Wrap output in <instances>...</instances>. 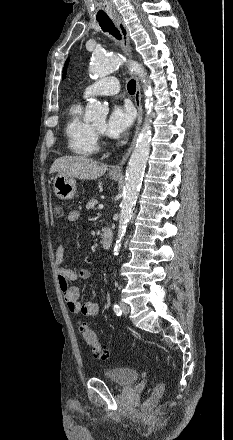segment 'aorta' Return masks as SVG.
<instances>
[{
    "mask_svg": "<svg viewBox=\"0 0 233 440\" xmlns=\"http://www.w3.org/2000/svg\"><path fill=\"white\" fill-rule=\"evenodd\" d=\"M124 60L117 55L105 56L96 52L93 54L90 65V72L97 77H104L116 71ZM130 68L141 79L144 87L145 109L147 111L145 122L138 135L134 150L131 154L128 167L126 170L125 186L123 191V199L121 202L120 220L118 226V239L114 247V254H118L121 241L125 235L127 225L131 219L133 208L136 204L138 192L140 190L146 162L150 152L151 142V112L153 108L152 89L146 78V72L141 64L131 62ZM109 108L97 100H91L87 111L86 118L89 121H96L106 118Z\"/></svg>",
    "mask_w": 233,
    "mask_h": 440,
    "instance_id": "762f6f07",
    "label": "aorta"
}]
</instances>
